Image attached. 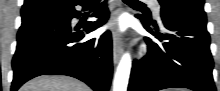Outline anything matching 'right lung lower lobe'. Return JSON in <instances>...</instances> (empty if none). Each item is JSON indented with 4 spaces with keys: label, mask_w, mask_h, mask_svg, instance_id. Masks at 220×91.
Here are the masks:
<instances>
[{
    "label": "right lung lower lobe",
    "mask_w": 220,
    "mask_h": 91,
    "mask_svg": "<svg viewBox=\"0 0 220 91\" xmlns=\"http://www.w3.org/2000/svg\"><path fill=\"white\" fill-rule=\"evenodd\" d=\"M89 4L90 0H65L53 8L22 14L12 61V91L44 74L72 76L94 91H108L113 68L111 33L106 31L100 37L83 40L106 23V3L100 4L92 15L99 18L97 21L83 25V29L71 26V19L80 17L75 6L86 10Z\"/></svg>",
    "instance_id": "98d812e1"
}]
</instances>
